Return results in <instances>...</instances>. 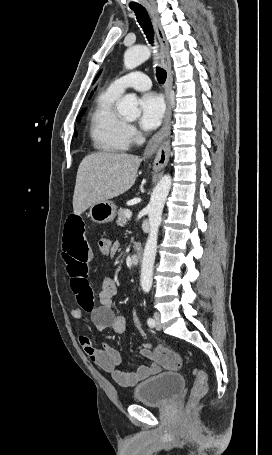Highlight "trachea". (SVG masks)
<instances>
[{
	"label": "trachea",
	"instance_id": "3493384b",
	"mask_svg": "<svg viewBox=\"0 0 272 455\" xmlns=\"http://www.w3.org/2000/svg\"><path fill=\"white\" fill-rule=\"evenodd\" d=\"M135 12L136 18L140 26L142 27L148 41L150 44L153 45L154 43V30L151 24L150 18L148 16L147 11L144 7H135L132 8ZM156 77L159 83L163 84L166 80L167 73L163 68L157 67L156 68Z\"/></svg>",
	"mask_w": 272,
	"mask_h": 455
}]
</instances>
